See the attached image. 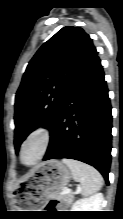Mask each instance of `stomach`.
<instances>
[{
	"mask_svg": "<svg viewBox=\"0 0 123 219\" xmlns=\"http://www.w3.org/2000/svg\"><path fill=\"white\" fill-rule=\"evenodd\" d=\"M67 165L58 160H49L34 168L29 176L17 187L15 202L18 211H39L48 199L55 197L71 179Z\"/></svg>",
	"mask_w": 123,
	"mask_h": 219,
	"instance_id": "0dacf381",
	"label": "stomach"
}]
</instances>
